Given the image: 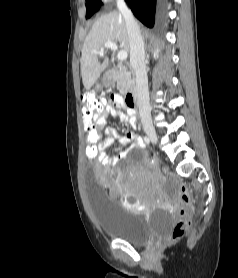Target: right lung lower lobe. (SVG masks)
Wrapping results in <instances>:
<instances>
[{"mask_svg":"<svg viewBox=\"0 0 238 278\" xmlns=\"http://www.w3.org/2000/svg\"><path fill=\"white\" fill-rule=\"evenodd\" d=\"M135 17L138 18L144 25L152 28L155 20L156 3H162V0H125Z\"/></svg>","mask_w":238,"mask_h":278,"instance_id":"98d812e1","label":"right lung lower lobe"}]
</instances>
